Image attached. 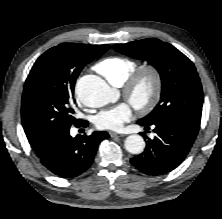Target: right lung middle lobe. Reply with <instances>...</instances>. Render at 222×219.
<instances>
[{"mask_svg": "<svg viewBox=\"0 0 222 219\" xmlns=\"http://www.w3.org/2000/svg\"><path fill=\"white\" fill-rule=\"evenodd\" d=\"M107 48L79 50L63 43L41 55L24 86L21 117L26 134L53 137L76 125L74 84L82 68Z\"/></svg>", "mask_w": 222, "mask_h": 219, "instance_id": "dd1d6c3e", "label": "right lung middle lobe"}]
</instances>
